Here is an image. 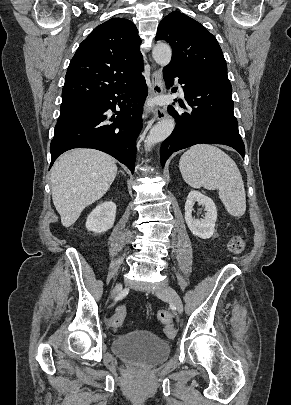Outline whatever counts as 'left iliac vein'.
I'll return each instance as SVG.
<instances>
[{
  "instance_id": "obj_1",
  "label": "left iliac vein",
  "mask_w": 291,
  "mask_h": 405,
  "mask_svg": "<svg viewBox=\"0 0 291 405\" xmlns=\"http://www.w3.org/2000/svg\"><path fill=\"white\" fill-rule=\"evenodd\" d=\"M156 295L160 298H169L179 314L183 312V303L178 293L170 286L165 285L156 291Z\"/></svg>"
}]
</instances>
